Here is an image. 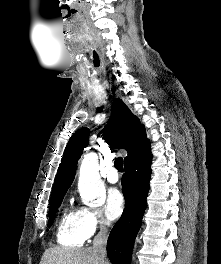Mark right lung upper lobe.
Returning a JSON list of instances; mask_svg holds the SVG:
<instances>
[{
  "label": "right lung upper lobe",
  "instance_id": "obj_1",
  "mask_svg": "<svg viewBox=\"0 0 221 264\" xmlns=\"http://www.w3.org/2000/svg\"><path fill=\"white\" fill-rule=\"evenodd\" d=\"M89 134L88 128H81L69 139L53 184L51 199L65 194L71 186L77 162L88 145ZM103 136L110 146L123 148L128 152V156L124 158L125 165L152 156L145 127L119 98L112 104V115L103 129Z\"/></svg>",
  "mask_w": 221,
  "mask_h": 264
}]
</instances>
